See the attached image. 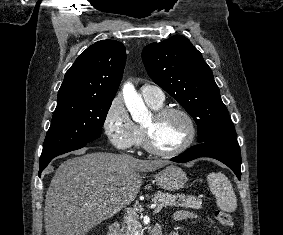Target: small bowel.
I'll return each mask as SVG.
<instances>
[{
	"label": "small bowel",
	"instance_id": "c3829d8e",
	"mask_svg": "<svg viewBox=\"0 0 283 235\" xmlns=\"http://www.w3.org/2000/svg\"><path fill=\"white\" fill-rule=\"evenodd\" d=\"M191 218H193V215L190 214L189 212H184V211L178 212L175 215V220H177V221L187 220V219H191Z\"/></svg>",
	"mask_w": 283,
	"mask_h": 235
}]
</instances>
